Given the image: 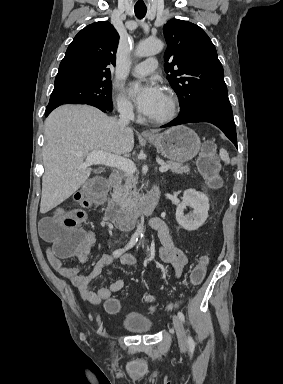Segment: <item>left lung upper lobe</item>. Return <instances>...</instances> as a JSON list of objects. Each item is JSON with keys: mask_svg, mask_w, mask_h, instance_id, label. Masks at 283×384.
Here are the masks:
<instances>
[{"mask_svg": "<svg viewBox=\"0 0 283 384\" xmlns=\"http://www.w3.org/2000/svg\"><path fill=\"white\" fill-rule=\"evenodd\" d=\"M163 30L168 45L165 71L179 97V115L202 106L230 104L222 64L204 30L179 19L169 20Z\"/></svg>", "mask_w": 283, "mask_h": 384, "instance_id": "1", "label": "left lung upper lobe"}]
</instances>
